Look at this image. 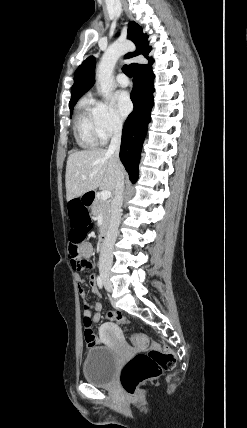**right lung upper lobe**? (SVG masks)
<instances>
[{"mask_svg":"<svg viewBox=\"0 0 247 428\" xmlns=\"http://www.w3.org/2000/svg\"><path fill=\"white\" fill-rule=\"evenodd\" d=\"M128 39L132 40L136 45V51L128 53L125 58H131L139 54H143L149 61L152 59L148 57L151 47L147 39L148 36L142 32V28L135 22L129 23ZM131 68L139 66L138 64H130ZM95 82V58L93 56L87 58L82 65L76 70L74 77V84L71 89L70 105L76 104L78 99L88 91Z\"/></svg>","mask_w":247,"mask_h":428,"instance_id":"1","label":"right lung upper lobe"}]
</instances>
